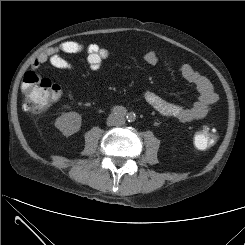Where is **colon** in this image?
Masks as SVG:
<instances>
[{"label": "colon", "mask_w": 245, "mask_h": 245, "mask_svg": "<svg viewBox=\"0 0 245 245\" xmlns=\"http://www.w3.org/2000/svg\"><path fill=\"white\" fill-rule=\"evenodd\" d=\"M22 91L25 108L36 113L45 111L59 99L61 93L58 84L33 71H28L24 75ZM216 140V130L209 125L202 126L194 137L195 146L200 150L210 148Z\"/></svg>", "instance_id": "5ec220e1"}]
</instances>
